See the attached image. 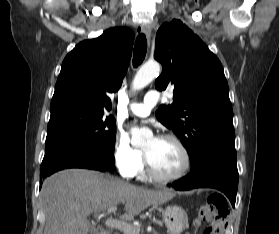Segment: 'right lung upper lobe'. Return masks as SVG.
I'll list each match as a JSON object with an SVG mask.
<instances>
[{
    "instance_id": "obj_1",
    "label": "right lung upper lobe",
    "mask_w": 279,
    "mask_h": 234,
    "mask_svg": "<svg viewBox=\"0 0 279 234\" xmlns=\"http://www.w3.org/2000/svg\"><path fill=\"white\" fill-rule=\"evenodd\" d=\"M133 42L134 34L126 27L110 28L98 38L80 42L62 63L51 111L109 110L111 99L107 94L120 88Z\"/></svg>"
}]
</instances>
